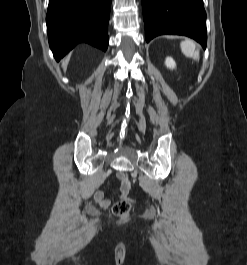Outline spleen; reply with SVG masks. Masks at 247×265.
<instances>
[{
	"label": "spleen",
	"mask_w": 247,
	"mask_h": 265,
	"mask_svg": "<svg viewBox=\"0 0 247 265\" xmlns=\"http://www.w3.org/2000/svg\"><path fill=\"white\" fill-rule=\"evenodd\" d=\"M181 51L186 57L199 60V51L196 49L195 43L191 40L182 41L180 44Z\"/></svg>",
	"instance_id": "obj_1"
}]
</instances>
